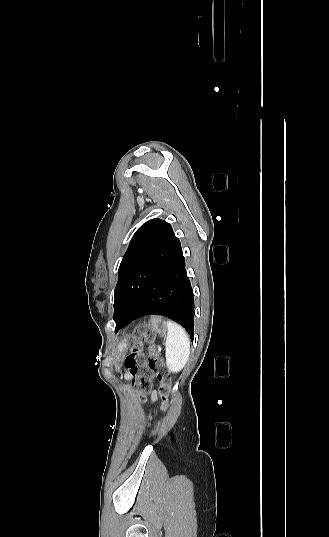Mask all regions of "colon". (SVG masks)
I'll list each match as a JSON object with an SVG mask.
<instances>
[{"instance_id": "obj_1", "label": "colon", "mask_w": 329, "mask_h": 537, "mask_svg": "<svg viewBox=\"0 0 329 537\" xmlns=\"http://www.w3.org/2000/svg\"><path fill=\"white\" fill-rule=\"evenodd\" d=\"M147 334L138 332L133 340L130 352L125 358V366L135 378V386L140 394H145L150 388L152 378L160 380V400L164 407L167 404L171 384L170 373L160 358L158 352L152 348L145 355L142 352Z\"/></svg>"}]
</instances>
